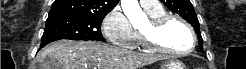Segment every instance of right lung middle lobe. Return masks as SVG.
<instances>
[{
  "label": "right lung middle lobe",
  "instance_id": "right-lung-middle-lobe-1",
  "mask_svg": "<svg viewBox=\"0 0 246 69\" xmlns=\"http://www.w3.org/2000/svg\"><path fill=\"white\" fill-rule=\"evenodd\" d=\"M104 17L60 16L48 18L41 43L60 39L106 41L100 29Z\"/></svg>",
  "mask_w": 246,
  "mask_h": 69
}]
</instances>
